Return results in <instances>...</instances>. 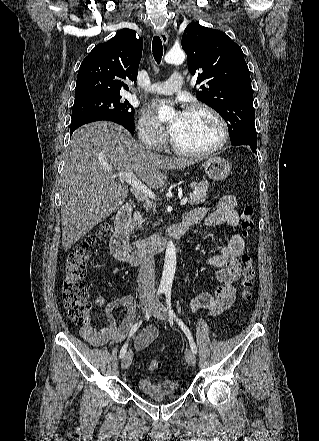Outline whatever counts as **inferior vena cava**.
I'll use <instances>...</instances> for the list:
<instances>
[{"instance_id":"inferior-vena-cava-1","label":"inferior vena cava","mask_w":319,"mask_h":441,"mask_svg":"<svg viewBox=\"0 0 319 441\" xmlns=\"http://www.w3.org/2000/svg\"><path fill=\"white\" fill-rule=\"evenodd\" d=\"M138 287L141 297L153 298L155 295V261L152 252L144 256L139 269Z\"/></svg>"}]
</instances>
